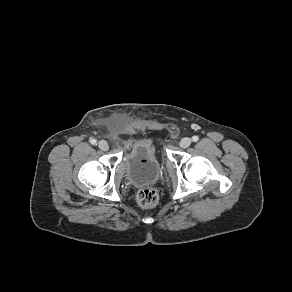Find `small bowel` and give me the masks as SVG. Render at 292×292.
<instances>
[{
	"label": "small bowel",
	"instance_id": "obj_1",
	"mask_svg": "<svg viewBox=\"0 0 292 292\" xmlns=\"http://www.w3.org/2000/svg\"><path fill=\"white\" fill-rule=\"evenodd\" d=\"M139 142H143V143H147V144H151V141L150 140H141Z\"/></svg>",
	"mask_w": 292,
	"mask_h": 292
}]
</instances>
